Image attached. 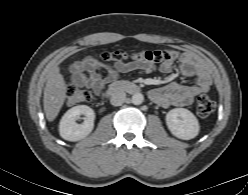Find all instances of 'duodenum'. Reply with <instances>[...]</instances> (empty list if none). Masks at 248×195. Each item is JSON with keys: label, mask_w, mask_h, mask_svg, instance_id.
I'll return each instance as SVG.
<instances>
[{"label": "duodenum", "mask_w": 248, "mask_h": 195, "mask_svg": "<svg viewBox=\"0 0 248 195\" xmlns=\"http://www.w3.org/2000/svg\"><path fill=\"white\" fill-rule=\"evenodd\" d=\"M119 91H126L131 94H137L140 92V87L129 81H114L112 82L108 88L105 90L104 95L109 97Z\"/></svg>", "instance_id": "duodenum-1"}]
</instances>
